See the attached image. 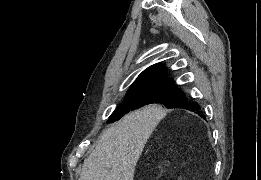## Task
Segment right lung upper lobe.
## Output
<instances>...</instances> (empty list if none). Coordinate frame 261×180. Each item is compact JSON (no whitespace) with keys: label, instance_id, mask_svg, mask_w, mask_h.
<instances>
[{"label":"right lung upper lobe","instance_id":"cb5924a9","mask_svg":"<svg viewBox=\"0 0 261 180\" xmlns=\"http://www.w3.org/2000/svg\"><path fill=\"white\" fill-rule=\"evenodd\" d=\"M172 82L171 79L166 77L165 67L163 64L158 63L148 67L144 70L132 84L131 87L146 86L157 83Z\"/></svg>","mask_w":261,"mask_h":180}]
</instances>
